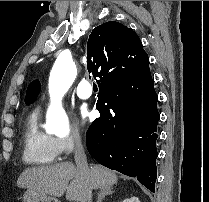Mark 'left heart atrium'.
Wrapping results in <instances>:
<instances>
[{
    "label": "left heart atrium",
    "instance_id": "1",
    "mask_svg": "<svg viewBox=\"0 0 209 202\" xmlns=\"http://www.w3.org/2000/svg\"><path fill=\"white\" fill-rule=\"evenodd\" d=\"M91 118V114L89 111L83 109L80 112V120L84 124Z\"/></svg>",
    "mask_w": 209,
    "mask_h": 202
}]
</instances>
